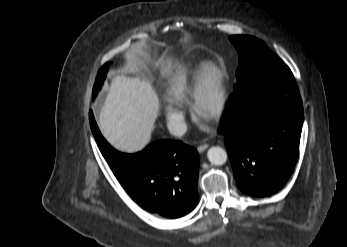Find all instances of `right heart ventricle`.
Instances as JSON below:
<instances>
[{"instance_id":"e07e8e85","label":"right heart ventricle","mask_w":347,"mask_h":247,"mask_svg":"<svg viewBox=\"0 0 347 247\" xmlns=\"http://www.w3.org/2000/svg\"><path fill=\"white\" fill-rule=\"evenodd\" d=\"M208 65L210 64L202 63L195 67L184 66L178 69L167 88L168 100L178 105L187 102L194 83Z\"/></svg>"}]
</instances>
